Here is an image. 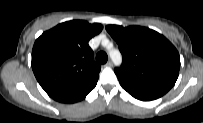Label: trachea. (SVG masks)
Masks as SVG:
<instances>
[{
	"mask_svg": "<svg viewBox=\"0 0 203 123\" xmlns=\"http://www.w3.org/2000/svg\"><path fill=\"white\" fill-rule=\"evenodd\" d=\"M108 56L105 52L100 51L96 55V60L98 63L104 64L107 62Z\"/></svg>",
	"mask_w": 203,
	"mask_h": 123,
	"instance_id": "trachea-1",
	"label": "trachea"
}]
</instances>
